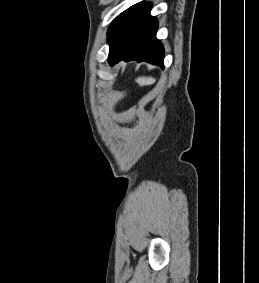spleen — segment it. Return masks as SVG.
I'll return each mask as SVG.
<instances>
[{"mask_svg":"<svg viewBox=\"0 0 259 283\" xmlns=\"http://www.w3.org/2000/svg\"><path fill=\"white\" fill-rule=\"evenodd\" d=\"M136 82L141 85V86H144V85H150L152 83L155 82V79L152 78V77H139L136 79Z\"/></svg>","mask_w":259,"mask_h":283,"instance_id":"3e777b00","label":"spleen"}]
</instances>
